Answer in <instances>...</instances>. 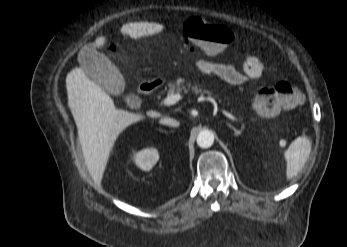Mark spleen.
<instances>
[{"label":"spleen","mask_w":347,"mask_h":247,"mask_svg":"<svg viewBox=\"0 0 347 247\" xmlns=\"http://www.w3.org/2000/svg\"><path fill=\"white\" fill-rule=\"evenodd\" d=\"M311 152V142L305 135L296 138L285 151L287 177L292 178L302 169Z\"/></svg>","instance_id":"1"}]
</instances>
